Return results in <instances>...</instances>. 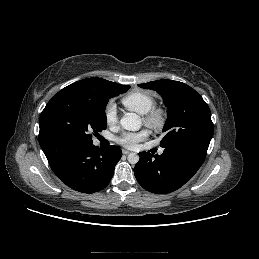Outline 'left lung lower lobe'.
Segmentation results:
<instances>
[{
    "mask_svg": "<svg viewBox=\"0 0 259 259\" xmlns=\"http://www.w3.org/2000/svg\"><path fill=\"white\" fill-rule=\"evenodd\" d=\"M206 154V149L193 145L165 147L162 155L141 152L134 174L138 183L147 191L170 193L193 177Z\"/></svg>",
    "mask_w": 259,
    "mask_h": 259,
    "instance_id": "0a47b994",
    "label": "left lung lower lobe"
}]
</instances>
